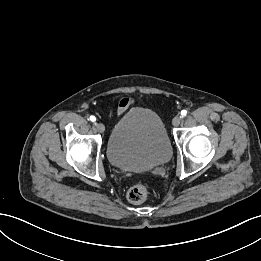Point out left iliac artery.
Listing matches in <instances>:
<instances>
[{"label":"left iliac artery","mask_w":261,"mask_h":261,"mask_svg":"<svg viewBox=\"0 0 261 261\" xmlns=\"http://www.w3.org/2000/svg\"><path fill=\"white\" fill-rule=\"evenodd\" d=\"M186 114H187V111H186V110H182V111H181V115H182V116H186Z\"/></svg>","instance_id":"1"}]
</instances>
